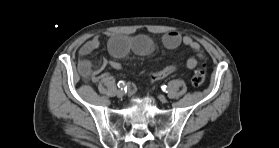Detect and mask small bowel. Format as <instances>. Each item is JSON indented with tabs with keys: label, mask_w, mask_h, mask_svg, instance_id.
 Segmentation results:
<instances>
[{
	"label": "small bowel",
	"mask_w": 279,
	"mask_h": 148,
	"mask_svg": "<svg viewBox=\"0 0 279 148\" xmlns=\"http://www.w3.org/2000/svg\"><path fill=\"white\" fill-rule=\"evenodd\" d=\"M162 42L165 47L175 49L180 45L188 47L193 55L188 58L186 65L189 69H194L198 65V59H203L204 53L201 45L189 36H182L177 31H169L162 37ZM100 39L93 37L85 42L79 49L78 72L85 81L96 82L100 79V73L109 65L113 69L121 70L122 65L117 60L107 61L106 59L99 60L93 64L91 55L99 48ZM108 50L115 58H123L130 52L140 56L150 54L154 50V43L148 36L139 35L134 37L112 35L108 40ZM175 65H170L162 70L151 73L150 79L153 81L161 80L176 70ZM129 92H135L136 86L133 83L128 84Z\"/></svg>",
	"instance_id": "c3829d8e"
}]
</instances>
